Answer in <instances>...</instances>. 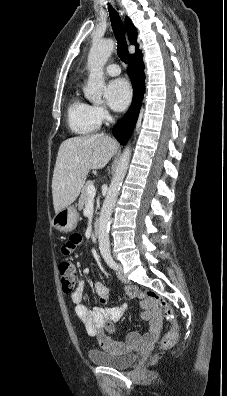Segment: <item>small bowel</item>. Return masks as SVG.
Segmentation results:
<instances>
[{
    "instance_id": "small-bowel-1",
    "label": "small bowel",
    "mask_w": 227,
    "mask_h": 396,
    "mask_svg": "<svg viewBox=\"0 0 227 396\" xmlns=\"http://www.w3.org/2000/svg\"><path fill=\"white\" fill-rule=\"evenodd\" d=\"M80 242L79 235H72L69 241L63 247V253L68 255L74 251ZM95 292L102 303L110 299L109 287L103 282H96L94 285ZM85 281L80 280L72 293V301L75 304V314L81 320L89 335L98 339L102 349L105 351H117L126 345L133 346L140 343L155 341L162 330V318L158 308L146 298H140V306L143 309L141 317L149 321V330L145 334L138 332H129L125 342L114 340L110 335L115 332L114 323L119 321L124 313L123 306L117 307H96L90 310L84 303ZM126 294L131 297L143 294L138 288H129Z\"/></svg>"
}]
</instances>
